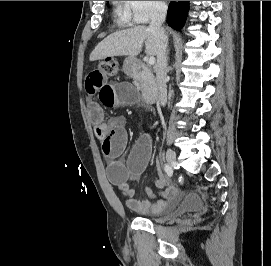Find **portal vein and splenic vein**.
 <instances>
[{"instance_id": "portal-vein-and-splenic-vein-1", "label": "portal vein and splenic vein", "mask_w": 271, "mask_h": 266, "mask_svg": "<svg viewBox=\"0 0 271 266\" xmlns=\"http://www.w3.org/2000/svg\"><path fill=\"white\" fill-rule=\"evenodd\" d=\"M148 64L149 65H154L155 64V57L154 56H150L148 59Z\"/></svg>"}]
</instances>
